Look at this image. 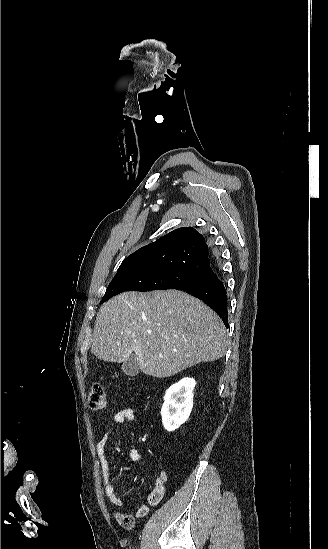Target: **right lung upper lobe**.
I'll return each instance as SVG.
<instances>
[{"label": "right lung upper lobe", "mask_w": 328, "mask_h": 549, "mask_svg": "<svg viewBox=\"0 0 328 549\" xmlns=\"http://www.w3.org/2000/svg\"><path fill=\"white\" fill-rule=\"evenodd\" d=\"M170 268L217 278L216 259L205 238L192 227L178 228L129 255L118 271L131 268Z\"/></svg>", "instance_id": "obj_1"}]
</instances>
